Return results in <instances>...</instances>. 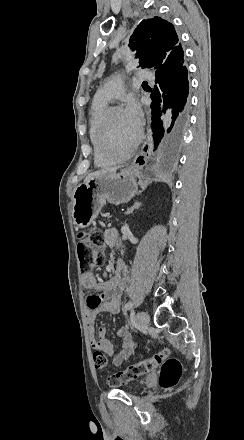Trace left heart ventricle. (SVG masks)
Returning <instances> with one entry per match:
<instances>
[{
  "instance_id": "b2bd125f",
  "label": "left heart ventricle",
  "mask_w": 244,
  "mask_h": 440,
  "mask_svg": "<svg viewBox=\"0 0 244 440\" xmlns=\"http://www.w3.org/2000/svg\"><path fill=\"white\" fill-rule=\"evenodd\" d=\"M105 128L109 130L105 137L108 146L127 145L128 140L132 137L123 110L114 111L110 118V124Z\"/></svg>"
}]
</instances>
